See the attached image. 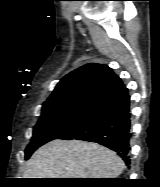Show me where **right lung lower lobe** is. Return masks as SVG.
I'll return each instance as SVG.
<instances>
[{"label": "right lung lower lobe", "mask_w": 160, "mask_h": 187, "mask_svg": "<svg viewBox=\"0 0 160 187\" xmlns=\"http://www.w3.org/2000/svg\"><path fill=\"white\" fill-rule=\"evenodd\" d=\"M130 97L123 87L96 103L91 112L59 139L84 140L114 150L130 164Z\"/></svg>", "instance_id": "right-lung-lower-lobe-1"}]
</instances>
